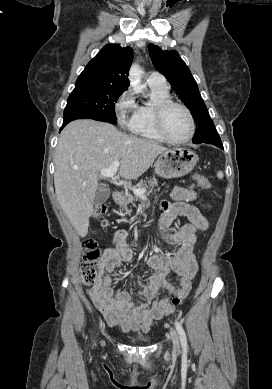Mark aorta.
<instances>
[{
  "label": "aorta",
  "mask_w": 272,
  "mask_h": 389,
  "mask_svg": "<svg viewBox=\"0 0 272 389\" xmlns=\"http://www.w3.org/2000/svg\"><path fill=\"white\" fill-rule=\"evenodd\" d=\"M142 70L138 64H133L129 71V81L134 92L142 93L144 86L141 83Z\"/></svg>",
  "instance_id": "762f6f07"
}]
</instances>
